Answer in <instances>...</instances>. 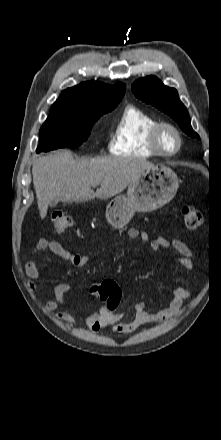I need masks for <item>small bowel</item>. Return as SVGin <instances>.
<instances>
[{
  "instance_id": "obj_1",
  "label": "small bowel",
  "mask_w": 221,
  "mask_h": 440,
  "mask_svg": "<svg viewBox=\"0 0 221 440\" xmlns=\"http://www.w3.org/2000/svg\"><path fill=\"white\" fill-rule=\"evenodd\" d=\"M129 238H140L143 242L148 241V235L145 231L137 228H130L128 230ZM150 247L153 251H158L160 248H173L178 252V255L172 258V262L185 268L187 270H194V254L192 250L181 240L173 239L171 241L157 237L150 242ZM49 250L64 261L72 264L75 267H85L90 262L88 255H80L72 253L67 250L61 243L57 241L41 239L39 240L32 251V257L38 252ZM26 274L28 276V287L31 290L35 289L34 281L39 279L40 273L36 262L31 259L25 265ZM74 291V286L70 283H59L54 288L53 300L45 303L44 308L47 311H55L65 304L66 295ZM191 292L186 288L175 285L171 291V300L168 305L161 307L156 312H148L144 301H138L133 305V318L129 321H121L123 314L117 312L116 315H109L105 306L98 312H91L86 314L83 319L87 328L91 332H99L108 326H113V331L119 334H131L137 331L142 326L153 323L169 320L177 315L182 307L183 302L190 298ZM119 303V302H118ZM56 317L61 322L71 324L78 320V315L73 312H58Z\"/></svg>"
}]
</instances>
